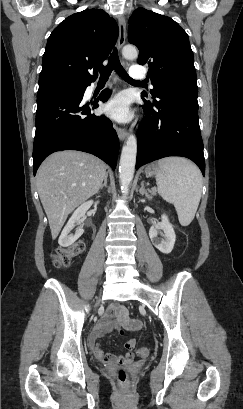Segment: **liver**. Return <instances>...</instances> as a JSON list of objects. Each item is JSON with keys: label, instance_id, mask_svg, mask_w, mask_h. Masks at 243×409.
<instances>
[{"label": "liver", "instance_id": "obj_1", "mask_svg": "<svg viewBox=\"0 0 243 409\" xmlns=\"http://www.w3.org/2000/svg\"><path fill=\"white\" fill-rule=\"evenodd\" d=\"M106 165L79 151H60L47 157L36 175L37 190L56 239L68 215L100 189Z\"/></svg>", "mask_w": 243, "mask_h": 409}]
</instances>
